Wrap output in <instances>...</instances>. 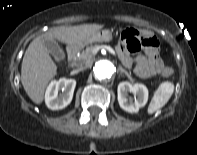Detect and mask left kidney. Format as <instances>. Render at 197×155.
<instances>
[{"mask_svg":"<svg viewBox=\"0 0 197 155\" xmlns=\"http://www.w3.org/2000/svg\"><path fill=\"white\" fill-rule=\"evenodd\" d=\"M118 102L120 107L130 113L138 112L139 108L144 107L148 100V89L145 85L131 83L124 81L118 85ZM128 92L135 95L134 102L132 99H128Z\"/></svg>","mask_w":197,"mask_h":155,"instance_id":"1","label":"left kidney"}]
</instances>
